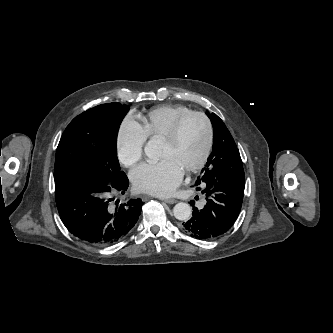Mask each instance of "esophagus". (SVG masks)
<instances>
[{
    "label": "esophagus",
    "mask_w": 333,
    "mask_h": 333,
    "mask_svg": "<svg viewBox=\"0 0 333 333\" xmlns=\"http://www.w3.org/2000/svg\"><path fill=\"white\" fill-rule=\"evenodd\" d=\"M146 196H143V198H145ZM164 202L168 203V204H174L177 201L175 199L172 198H166V199H162Z\"/></svg>",
    "instance_id": "obj_1"
}]
</instances>
